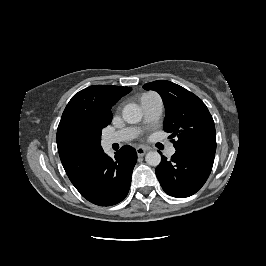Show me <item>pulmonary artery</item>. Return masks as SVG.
<instances>
[{"mask_svg": "<svg viewBox=\"0 0 266 266\" xmlns=\"http://www.w3.org/2000/svg\"><path fill=\"white\" fill-rule=\"evenodd\" d=\"M140 104L143 111L144 121L146 123L155 122L159 119L163 110V103L161 97L156 93H147L141 96ZM139 133L137 128H125L105 138L106 145L110 146L115 143H121L133 139ZM175 147L170 145L166 153L172 156L175 153Z\"/></svg>", "mask_w": 266, "mask_h": 266, "instance_id": "1", "label": "pulmonary artery"}]
</instances>
